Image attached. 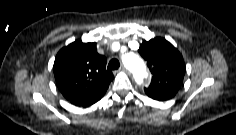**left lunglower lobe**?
<instances>
[{"instance_id": "obj_1", "label": "left lung lower lobe", "mask_w": 236, "mask_h": 135, "mask_svg": "<svg viewBox=\"0 0 236 135\" xmlns=\"http://www.w3.org/2000/svg\"><path fill=\"white\" fill-rule=\"evenodd\" d=\"M175 94L176 93H173V92H166V93L152 94V95H148V96L155 99V100L164 101V100L171 99Z\"/></svg>"}]
</instances>
